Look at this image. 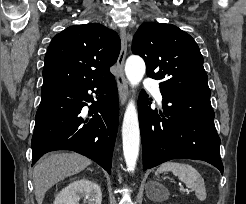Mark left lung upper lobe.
Returning a JSON list of instances; mask_svg holds the SVG:
<instances>
[{"mask_svg": "<svg viewBox=\"0 0 246 204\" xmlns=\"http://www.w3.org/2000/svg\"><path fill=\"white\" fill-rule=\"evenodd\" d=\"M132 52L144 59L149 77L162 80L160 89L210 93L199 47L178 27L143 23L133 37Z\"/></svg>", "mask_w": 246, "mask_h": 204, "instance_id": "left-lung-upper-lobe-1", "label": "left lung upper lobe"}]
</instances>
